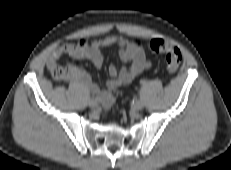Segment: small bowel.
<instances>
[{
	"mask_svg": "<svg viewBox=\"0 0 231 170\" xmlns=\"http://www.w3.org/2000/svg\"><path fill=\"white\" fill-rule=\"evenodd\" d=\"M116 45L119 48L121 67L110 65L109 79L105 88L96 84L89 73L79 70L71 77L75 83L85 86L104 106H111L114 102L113 91L122 85L130 84L143 71L150 68L152 62L145 55L143 45L138 40H127L120 35L98 37L92 42L81 39L77 43H67L57 47L47 59V67L51 70L58 64L60 58L69 55L80 60H89L96 68L103 65L102 48Z\"/></svg>",
	"mask_w": 231,
	"mask_h": 170,
	"instance_id": "small-bowel-1",
	"label": "small bowel"
}]
</instances>
